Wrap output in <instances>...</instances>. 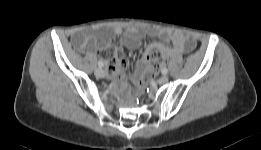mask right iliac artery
I'll return each instance as SVG.
<instances>
[{"instance_id": "obj_1", "label": "right iliac artery", "mask_w": 261, "mask_h": 150, "mask_svg": "<svg viewBox=\"0 0 261 150\" xmlns=\"http://www.w3.org/2000/svg\"><path fill=\"white\" fill-rule=\"evenodd\" d=\"M98 66H99L100 68H102V67L104 66V64H103L101 61H99V62H98Z\"/></svg>"}]
</instances>
